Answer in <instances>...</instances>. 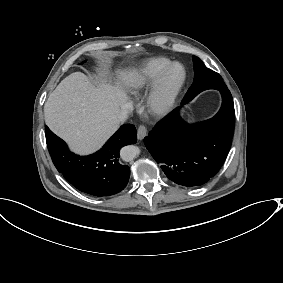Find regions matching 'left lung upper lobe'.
I'll return each instance as SVG.
<instances>
[{
  "instance_id": "1",
  "label": "left lung upper lobe",
  "mask_w": 283,
  "mask_h": 283,
  "mask_svg": "<svg viewBox=\"0 0 283 283\" xmlns=\"http://www.w3.org/2000/svg\"><path fill=\"white\" fill-rule=\"evenodd\" d=\"M193 64L195 72L194 81L185 95L186 98H193L206 89L227 88L222 77L207 68L198 57L193 56Z\"/></svg>"
}]
</instances>
